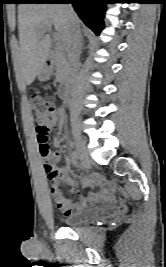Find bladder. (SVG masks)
Listing matches in <instances>:
<instances>
[{"label":"bladder","mask_w":166,"mask_h":267,"mask_svg":"<svg viewBox=\"0 0 166 267\" xmlns=\"http://www.w3.org/2000/svg\"><path fill=\"white\" fill-rule=\"evenodd\" d=\"M97 213H98L97 209L79 211L71 215H66L63 218L62 222L64 226L73 228L92 220L97 215Z\"/></svg>","instance_id":"bladder-1"}]
</instances>
